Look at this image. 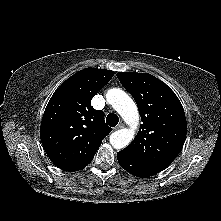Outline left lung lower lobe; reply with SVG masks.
<instances>
[{
	"mask_svg": "<svg viewBox=\"0 0 221 221\" xmlns=\"http://www.w3.org/2000/svg\"><path fill=\"white\" fill-rule=\"evenodd\" d=\"M117 158L123 169L137 177H149L162 171L150 165L144 164L122 151L117 153Z\"/></svg>",
	"mask_w": 221,
	"mask_h": 221,
	"instance_id": "0a47b994",
	"label": "left lung lower lobe"
}]
</instances>
